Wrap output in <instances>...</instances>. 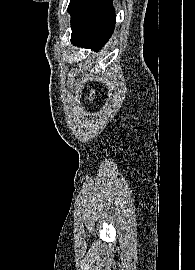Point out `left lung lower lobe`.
Returning a JSON list of instances; mask_svg holds the SVG:
<instances>
[{
	"instance_id": "obj_1",
	"label": "left lung lower lobe",
	"mask_w": 195,
	"mask_h": 270,
	"mask_svg": "<svg viewBox=\"0 0 195 270\" xmlns=\"http://www.w3.org/2000/svg\"><path fill=\"white\" fill-rule=\"evenodd\" d=\"M115 23L112 0H84L71 21V43L98 51L111 37Z\"/></svg>"
}]
</instances>
